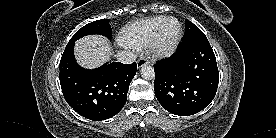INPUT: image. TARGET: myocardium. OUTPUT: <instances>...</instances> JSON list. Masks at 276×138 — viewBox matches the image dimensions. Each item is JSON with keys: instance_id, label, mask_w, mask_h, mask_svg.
Masks as SVG:
<instances>
[{"instance_id": "f54148a6", "label": "myocardium", "mask_w": 276, "mask_h": 138, "mask_svg": "<svg viewBox=\"0 0 276 138\" xmlns=\"http://www.w3.org/2000/svg\"><path fill=\"white\" fill-rule=\"evenodd\" d=\"M176 21L178 24V32L175 37L169 42L164 43L162 40L164 29L168 22ZM183 36V28L181 22L175 17H167L157 28L153 38L149 43V54L152 58H166L172 55L177 49Z\"/></svg>"}]
</instances>
